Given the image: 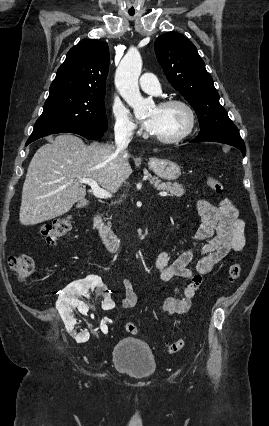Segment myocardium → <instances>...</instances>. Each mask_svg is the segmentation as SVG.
I'll use <instances>...</instances> for the list:
<instances>
[{
    "label": "myocardium",
    "mask_w": 269,
    "mask_h": 426,
    "mask_svg": "<svg viewBox=\"0 0 269 426\" xmlns=\"http://www.w3.org/2000/svg\"><path fill=\"white\" fill-rule=\"evenodd\" d=\"M159 107H168V106H180L182 107L188 115V124L187 127L179 135L171 138H163L155 136L152 133L148 132V135L151 139L161 143V144H177L184 139H186L194 130L196 126V114L193 108L185 101L180 99H166L158 104Z\"/></svg>",
    "instance_id": "obj_1"
}]
</instances>
